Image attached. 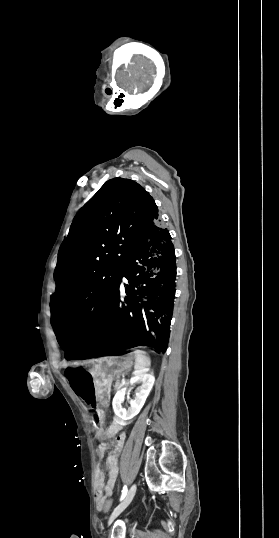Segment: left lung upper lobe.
<instances>
[{
    "mask_svg": "<svg viewBox=\"0 0 279 538\" xmlns=\"http://www.w3.org/2000/svg\"><path fill=\"white\" fill-rule=\"evenodd\" d=\"M158 209L136 182L107 181L76 215L58 252L51 324L89 334L102 317L121 278L124 264L157 221Z\"/></svg>",
    "mask_w": 279,
    "mask_h": 538,
    "instance_id": "left-lung-upper-lobe-1",
    "label": "left lung upper lobe"
}]
</instances>
